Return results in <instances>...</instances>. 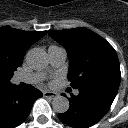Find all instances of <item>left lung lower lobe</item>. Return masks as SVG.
Returning <instances> with one entry per match:
<instances>
[{"instance_id":"1","label":"left lung lower lobe","mask_w":128,"mask_h":128,"mask_svg":"<svg viewBox=\"0 0 128 128\" xmlns=\"http://www.w3.org/2000/svg\"><path fill=\"white\" fill-rule=\"evenodd\" d=\"M118 88L112 83H98L78 89L77 96L71 94L69 110L58 114L59 120L73 128L93 126L108 112Z\"/></svg>"}]
</instances>
